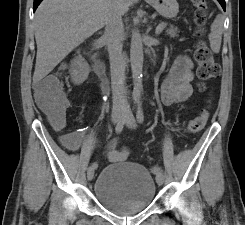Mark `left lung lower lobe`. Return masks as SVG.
Listing matches in <instances>:
<instances>
[{"instance_id": "obj_1", "label": "left lung lower lobe", "mask_w": 245, "mask_h": 225, "mask_svg": "<svg viewBox=\"0 0 245 225\" xmlns=\"http://www.w3.org/2000/svg\"><path fill=\"white\" fill-rule=\"evenodd\" d=\"M218 2L221 4L222 8L225 10V0H218Z\"/></svg>"}]
</instances>
